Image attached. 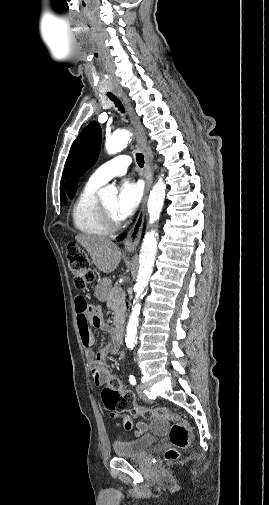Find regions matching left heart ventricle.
Returning a JSON list of instances; mask_svg holds the SVG:
<instances>
[{
	"label": "left heart ventricle",
	"instance_id": "1",
	"mask_svg": "<svg viewBox=\"0 0 269 505\" xmlns=\"http://www.w3.org/2000/svg\"><path fill=\"white\" fill-rule=\"evenodd\" d=\"M116 201H117L116 197H111V198L103 201V205L112 214L113 217H115L116 219H118L117 216H116V214H115Z\"/></svg>",
	"mask_w": 269,
	"mask_h": 505
}]
</instances>
